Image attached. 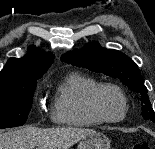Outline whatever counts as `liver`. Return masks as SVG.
<instances>
[{
    "label": "liver",
    "instance_id": "liver-1",
    "mask_svg": "<svg viewBox=\"0 0 155 149\" xmlns=\"http://www.w3.org/2000/svg\"><path fill=\"white\" fill-rule=\"evenodd\" d=\"M92 129L61 127L39 129L32 126L15 131L0 132V149H69Z\"/></svg>",
    "mask_w": 155,
    "mask_h": 149
}]
</instances>
